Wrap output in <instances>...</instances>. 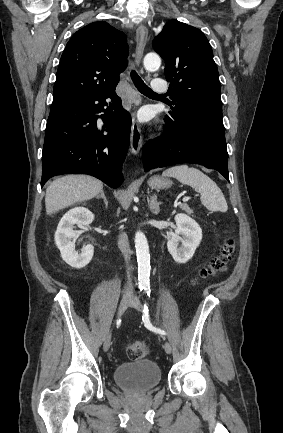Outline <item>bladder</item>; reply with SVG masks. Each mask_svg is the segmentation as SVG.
<instances>
[{
  "mask_svg": "<svg viewBox=\"0 0 283 433\" xmlns=\"http://www.w3.org/2000/svg\"><path fill=\"white\" fill-rule=\"evenodd\" d=\"M117 385L132 392L147 391L161 380V372L152 360H136L119 365L113 372Z\"/></svg>",
  "mask_w": 283,
  "mask_h": 433,
  "instance_id": "1",
  "label": "bladder"
}]
</instances>
